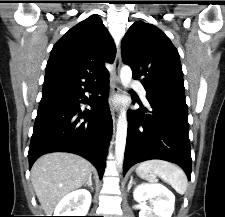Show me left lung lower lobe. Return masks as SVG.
Wrapping results in <instances>:
<instances>
[{"instance_id":"left-lung-lower-lobe-1","label":"left lung lower lobe","mask_w":225,"mask_h":217,"mask_svg":"<svg viewBox=\"0 0 225 217\" xmlns=\"http://www.w3.org/2000/svg\"><path fill=\"white\" fill-rule=\"evenodd\" d=\"M151 110H128L123 174L134 164L162 159L178 164L191 179V148L185 98L147 95ZM147 113V114H145Z\"/></svg>"}]
</instances>
